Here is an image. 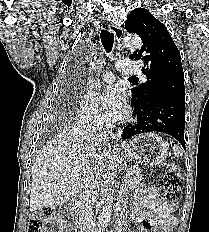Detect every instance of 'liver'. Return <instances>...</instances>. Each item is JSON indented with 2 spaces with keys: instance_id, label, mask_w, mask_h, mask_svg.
I'll list each match as a JSON object with an SVG mask.
<instances>
[{
  "instance_id": "6515ba94",
  "label": "liver",
  "mask_w": 209,
  "mask_h": 232,
  "mask_svg": "<svg viewBox=\"0 0 209 232\" xmlns=\"http://www.w3.org/2000/svg\"><path fill=\"white\" fill-rule=\"evenodd\" d=\"M111 146L77 127H68L37 156L31 172L30 211L65 203L82 193L90 173L103 172Z\"/></svg>"
}]
</instances>
